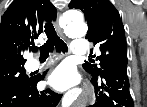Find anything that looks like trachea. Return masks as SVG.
Segmentation results:
<instances>
[{
    "label": "trachea",
    "mask_w": 147,
    "mask_h": 107,
    "mask_svg": "<svg viewBox=\"0 0 147 107\" xmlns=\"http://www.w3.org/2000/svg\"><path fill=\"white\" fill-rule=\"evenodd\" d=\"M45 33L47 36V41L39 48L40 57H48L49 52L53 50L54 46L57 51H62L64 53L68 51L67 45L58 37L50 20H48L45 24ZM37 49L38 48L36 46L32 47L33 51H36Z\"/></svg>",
    "instance_id": "3493384b"
}]
</instances>
